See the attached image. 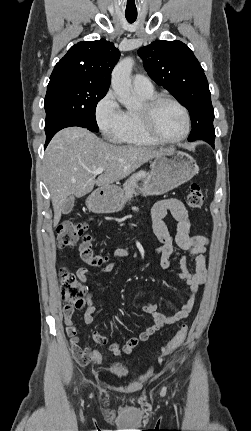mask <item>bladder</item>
Masks as SVG:
<instances>
[{
    "instance_id": "obj_1",
    "label": "bladder",
    "mask_w": 251,
    "mask_h": 431,
    "mask_svg": "<svg viewBox=\"0 0 251 431\" xmlns=\"http://www.w3.org/2000/svg\"><path fill=\"white\" fill-rule=\"evenodd\" d=\"M109 372L115 377H123L128 374V368L124 364L117 363L110 366Z\"/></svg>"
}]
</instances>
